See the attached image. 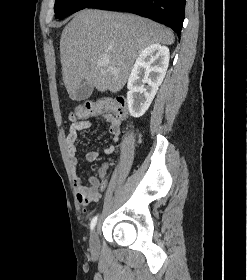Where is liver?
<instances>
[{
	"mask_svg": "<svg viewBox=\"0 0 247 280\" xmlns=\"http://www.w3.org/2000/svg\"><path fill=\"white\" fill-rule=\"evenodd\" d=\"M155 43L171 45L174 35L163 25L136 15L79 11L60 38L62 76L69 96L85 81L99 92L117 93L140 52ZM102 60L107 63L99 66Z\"/></svg>",
	"mask_w": 247,
	"mask_h": 280,
	"instance_id": "6515ba94",
	"label": "liver"
}]
</instances>
